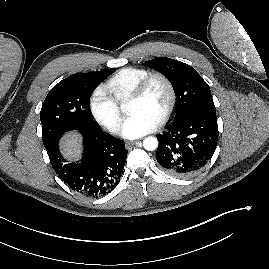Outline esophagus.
I'll return each instance as SVG.
<instances>
[{
    "label": "esophagus",
    "instance_id": "esophagus-1",
    "mask_svg": "<svg viewBox=\"0 0 269 269\" xmlns=\"http://www.w3.org/2000/svg\"><path fill=\"white\" fill-rule=\"evenodd\" d=\"M138 142H139V141H127V142L125 143V147L129 149L131 146L136 145Z\"/></svg>",
    "mask_w": 269,
    "mask_h": 269
}]
</instances>
